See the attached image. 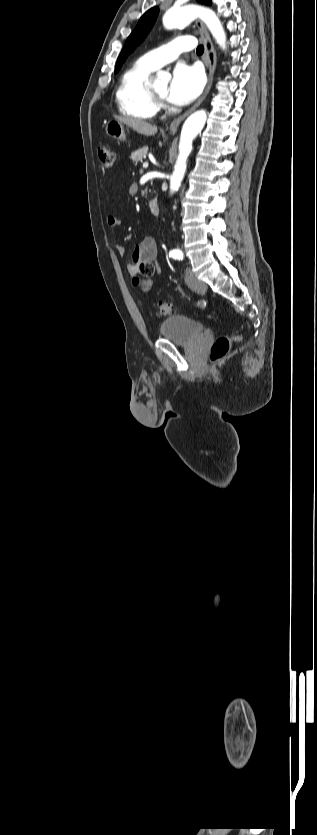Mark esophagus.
Instances as JSON below:
<instances>
[{"mask_svg":"<svg viewBox=\"0 0 317 835\" xmlns=\"http://www.w3.org/2000/svg\"><path fill=\"white\" fill-rule=\"evenodd\" d=\"M195 25L198 28V30L200 31L201 37H202L204 45H205V65H206L207 70H208V82H207L205 90L203 91V93L199 97V99L195 102V104L190 109H188L185 113H183L182 115H180L179 117H177L176 119H174L172 121V123L170 124V131H172V132H175L177 130L178 126L180 125V123L189 114H191L196 108H198L200 106V104L203 102V100L208 95V93L211 89L212 83H213V77H214V73H215V69H216V63H217L216 52H215L213 46L210 44L209 34H208L207 30L205 29L204 25L202 24V22L199 21V20H196Z\"/></svg>","mask_w":317,"mask_h":835,"instance_id":"esophagus-1","label":"esophagus"}]
</instances>
